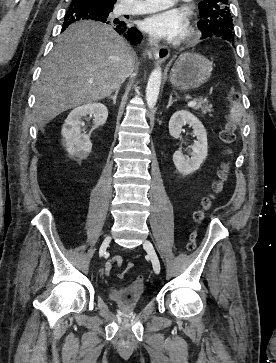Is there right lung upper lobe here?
<instances>
[{
  "label": "right lung upper lobe",
  "instance_id": "1",
  "mask_svg": "<svg viewBox=\"0 0 276 363\" xmlns=\"http://www.w3.org/2000/svg\"><path fill=\"white\" fill-rule=\"evenodd\" d=\"M94 1L107 5V6H113L116 2V0H94Z\"/></svg>",
  "mask_w": 276,
  "mask_h": 363
}]
</instances>
